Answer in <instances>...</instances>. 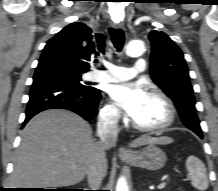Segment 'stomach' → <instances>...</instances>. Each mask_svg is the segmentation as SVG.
I'll use <instances>...</instances> for the list:
<instances>
[{
  "mask_svg": "<svg viewBox=\"0 0 218 191\" xmlns=\"http://www.w3.org/2000/svg\"><path fill=\"white\" fill-rule=\"evenodd\" d=\"M122 160L135 167L157 171L164 167L167 157L155 144H148L142 150L133 152L130 157H122Z\"/></svg>",
  "mask_w": 218,
  "mask_h": 191,
  "instance_id": "1",
  "label": "stomach"
}]
</instances>
